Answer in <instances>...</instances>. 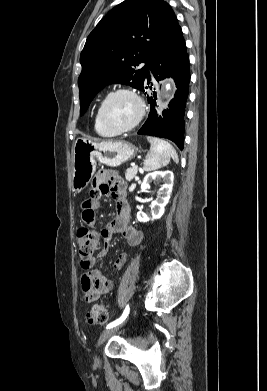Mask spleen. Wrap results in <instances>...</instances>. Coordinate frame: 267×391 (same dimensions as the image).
<instances>
[{"mask_svg":"<svg viewBox=\"0 0 267 391\" xmlns=\"http://www.w3.org/2000/svg\"><path fill=\"white\" fill-rule=\"evenodd\" d=\"M147 140L150 143V151L144 161L145 171L149 172L166 166L171 158L178 163L177 152L169 142L151 136L147 137Z\"/></svg>","mask_w":267,"mask_h":391,"instance_id":"spleen-1","label":"spleen"}]
</instances>
